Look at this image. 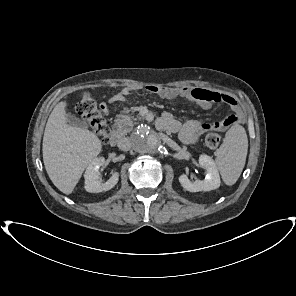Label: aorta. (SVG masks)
Instances as JSON below:
<instances>
[{
    "label": "aorta",
    "instance_id": "obj_1",
    "mask_svg": "<svg viewBox=\"0 0 296 296\" xmlns=\"http://www.w3.org/2000/svg\"><path fill=\"white\" fill-rule=\"evenodd\" d=\"M132 146L141 154H154L160 148L157 134L148 126H140L131 137Z\"/></svg>",
    "mask_w": 296,
    "mask_h": 296
}]
</instances>
